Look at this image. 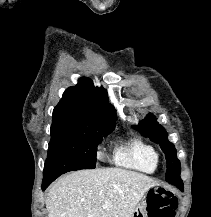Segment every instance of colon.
<instances>
[{
  "label": "colon",
  "mask_w": 211,
  "mask_h": 217,
  "mask_svg": "<svg viewBox=\"0 0 211 217\" xmlns=\"http://www.w3.org/2000/svg\"><path fill=\"white\" fill-rule=\"evenodd\" d=\"M178 207L177 197L163 188H155L148 197V217H174Z\"/></svg>",
  "instance_id": "colon-1"
}]
</instances>
